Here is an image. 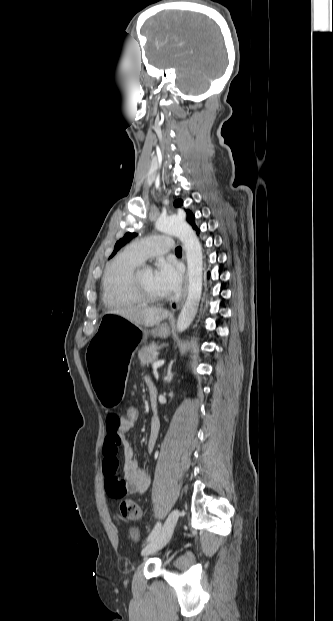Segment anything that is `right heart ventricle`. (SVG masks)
I'll return each instance as SVG.
<instances>
[{
    "label": "right heart ventricle",
    "instance_id": "1",
    "mask_svg": "<svg viewBox=\"0 0 333 621\" xmlns=\"http://www.w3.org/2000/svg\"><path fill=\"white\" fill-rule=\"evenodd\" d=\"M140 264L128 252L112 260L102 280V299L106 306L121 307L141 303L129 289L130 278Z\"/></svg>",
    "mask_w": 333,
    "mask_h": 621
}]
</instances>
